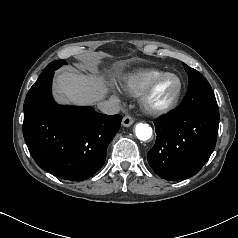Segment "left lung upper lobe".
<instances>
[{
    "label": "left lung upper lobe",
    "mask_w": 238,
    "mask_h": 238,
    "mask_svg": "<svg viewBox=\"0 0 238 238\" xmlns=\"http://www.w3.org/2000/svg\"><path fill=\"white\" fill-rule=\"evenodd\" d=\"M183 65L188 74L189 86L183 103L177 111L187 114L202 107L217 105L213 90L203 75L185 63Z\"/></svg>",
    "instance_id": "5c2ea615"
}]
</instances>
